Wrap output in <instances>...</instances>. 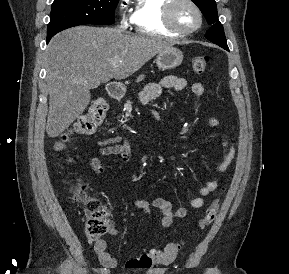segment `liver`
I'll list each match as a JSON object with an SVG mask.
<instances>
[{"label":"liver","mask_w":289,"mask_h":274,"mask_svg":"<svg viewBox=\"0 0 289 274\" xmlns=\"http://www.w3.org/2000/svg\"><path fill=\"white\" fill-rule=\"evenodd\" d=\"M171 48L162 39L109 27L78 26L56 34L46 50L48 136H59L85 111L92 83L125 79Z\"/></svg>","instance_id":"6515ba94"}]
</instances>
